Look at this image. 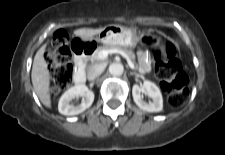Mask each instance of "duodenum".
<instances>
[{"mask_svg":"<svg viewBox=\"0 0 225 155\" xmlns=\"http://www.w3.org/2000/svg\"><path fill=\"white\" fill-rule=\"evenodd\" d=\"M94 47L88 42H79L74 46L75 72L74 82L83 84L86 80L85 63L87 57L93 52Z\"/></svg>","mask_w":225,"mask_h":155,"instance_id":"1","label":"duodenum"}]
</instances>
